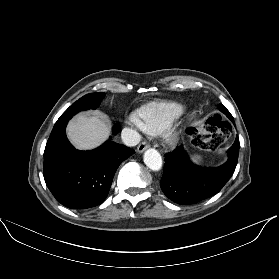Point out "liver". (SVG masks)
Returning <instances> with one entry per match:
<instances>
[{
	"label": "liver",
	"instance_id": "obj_1",
	"mask_svg": "<svg viewBox=\"0 0 279 279\" xmlns=\"http://www.w3.org/2000/svg\"><path fill=\"white\" fill-rule=\"evenodd\" d=\"M67 135L77 148L90 150L109 137L110 126L98 116L79 115L68 124Z\"/></svg>",
	"mask_w": 279,
	"mask_h": 279
}]
</instances>
